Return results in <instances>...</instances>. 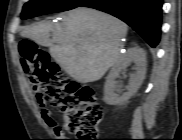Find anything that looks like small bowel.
I'll use <instances>...</instances> for the list:
<instances>
[{
	"label": "small bowel",
	"mask_w": 182,
	"mask_h": 140,
	"mask_svg": "<svg viewBox=\"0 0 182 140\" xmlns=\"http://www.w3.org/2000/svg\"><path fill=\"white\" fill-rule=\"evenodd\" d=\"M39 106L41 107V116L46 125L54 130V133L58 136H62V132L55 121L52 112L46 107V103L40 99H37Z\"/></svg>",
	"instance_id": "c3829d8e"
}]
</instances>
